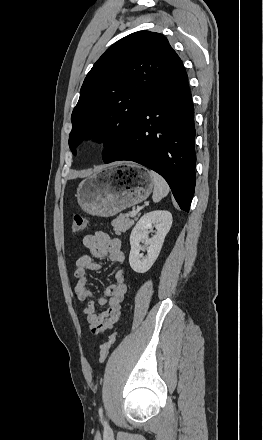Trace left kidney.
I'll list each match as a JSON object with an SVG mask.
<instances>
[{
    "instance_id": "1",
    "label": "left kidney",
    "mask_w": 263,
    "mask_h": 440,
    "mask_svg": "<svg viewBox=\"0 0 263 440\" xmlns=\"http://www.w3.org/2000/svg\"><path fill=\"white\" fill-rule=\"evenodd\" d=\"M172 225V215L169 211L156 210L144 214L133 228L130 235L131 250L129 263L133 271L137 273L147 272L156 261L164 239ZM156 228V233L148 237L149 229ZM145 241L147 255L140 254L142 247L140 242Z\"/></svg>"
}]
</instances>
